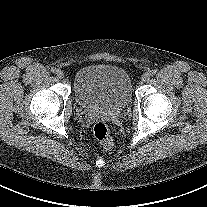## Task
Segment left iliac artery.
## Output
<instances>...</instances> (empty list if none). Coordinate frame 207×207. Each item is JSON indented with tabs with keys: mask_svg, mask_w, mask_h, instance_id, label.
<instances>
[{
	"mask_svg": "<svg viewBox=\"0 0 207 207\" xmlns=\"http://www.w3.org/2000/svg\"><path fill=\"white\" fill-rule=\"evenodd\" d=\"M149 74H150L151 76H154V75L156 74V70H151V71L149 72Z\"/></svg>",
	"mask_w": 207,
	"mask_h": 207,
	"instance_id": "left-iliac-artery-1",
	"label": "left iliac artery"
}]
</instances>
